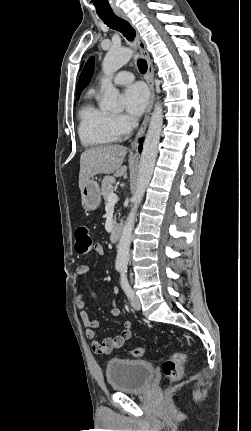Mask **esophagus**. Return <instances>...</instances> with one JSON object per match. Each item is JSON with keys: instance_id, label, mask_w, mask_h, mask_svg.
Masks as SVG:
<instances>
[{"instance_id": "esophagus-1", "label": "esophagus", "mask_w": 251, "mask_h": 431, "mask_svg": "<svg viewBox=\"0 0 251 431\" xmlns=\"http://www.w3.org/2000/svg\"><path fill=\"white\" fill-rule=\"evenodd\" d=\"M116 14L123 18L124 20L130 22V19L128 18V16L122 12V11H117ZM136 41H137V45L141 51L142 56L145 58L146 62H147V83L150 89V100H149V104L143 119V122L139 128L138 131V135L137 138L135 139V141L132 143V149H136L138 146V138H140L146 131V128L148 126L149 120H150V114H151V110L154 104V100H155V92H154V68H153V64L149 55V52L147 50L146 47V43L145 41L142 39V37L137 33L136 35Z\"/></svg>"}]
</instances>
